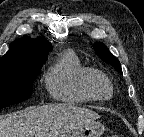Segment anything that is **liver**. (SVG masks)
Instances as JSON below:
<instances>
[{
  "mask_svg": "<svg viewBox=\"0 0 144 137\" xmlns=\"http://www.w3.org/2000/svg\"><path fill=\"white\" fill-rule=\"evenodd\" d=\"M100 116L70 104L28 107L0 116V137H68Z\"/></svg>",
  "mask_w": 144,
  "mask_h": 137,
  "instance_id": "liver-1",
  "label": "liver"
}]
</instances>
